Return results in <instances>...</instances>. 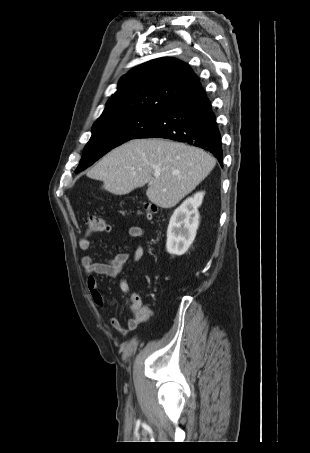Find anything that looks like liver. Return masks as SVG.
Instances as JSON below:
<instances>
[{
  "label": "liver",
  "mask_w": 310,
  "mask_h": 453,
  "mask_svg": "<svg viewBox=\"0 0 310 453\" xmlns=\"http://www.w3.org/2000/svg\"><path fill=\"white\" fill-rule=\"evenodd\" d=\"M216 160L204 150L159 138L134 139L106 154L88 173L115 195L148 183V199L172 208L204 180ZM159 174V177H155Z\"/></svg>",
  "instance_id": "1"
}]
</instances>
